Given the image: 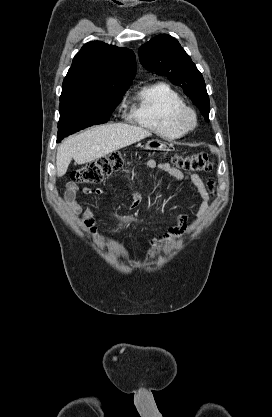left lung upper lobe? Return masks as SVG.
Segmentation results:
<instances>
[{"label": "left lung upper lobe", "mask_w": 272, "mask_h": 417, "mask_svg": "<svg viewBox=\"0 0 272 417\" xmlns=\"http://www.w3.org/2000/svg\"><path fill=\"white\" fill-rule=\"evenodd\" d=\"M139 58L147 70L165 75L182 87L209 121L210 103L203 76L175 38L167 34L154 37L139 48Z\"/></svg>", "instance_id": "obj_1"}]
</instances>
